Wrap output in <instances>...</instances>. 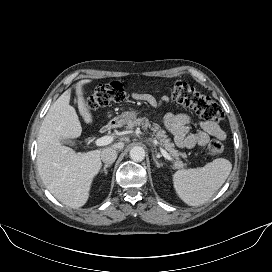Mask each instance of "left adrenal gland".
Returning a JSON list of instances; mask_svg holds the SVG:
<instances>
[{
	"label": "left adrenal gland",
	"instance_id": "obj_1",
	"mask_svg": "<svg viewBox=\"0 0 272 272\" xmlns=\"http://www.w3.org/2000/svg\"><path fill=\"white\" fill-rule=\"evenodd\" d=\"M152 157H153V160H154V162H155V165H156L158 168H160V167L163 166L162 163H159V162H158V160L156 159V157H155L154 155H152Z\"/></svg>",
	"mask_w": 272,
	"mask_h": 272
}]
</instances>
